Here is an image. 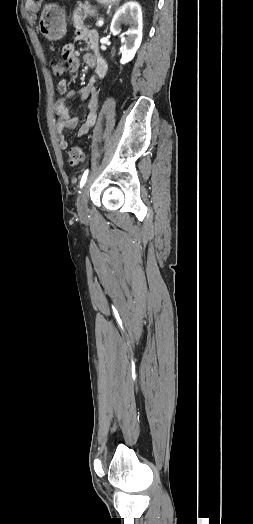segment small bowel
Masks as SVG:
<instances>
[{
	"label": "small bowel",
	"mask_w": 253,
	"mask_h": 524,
	"mask_svg": "<svg viewBox=\"0 0 253 524\" xmlns=\"http://www.w3.org/2000/svg\"><path fill=\"white\" fill-rule=\"evenodd\" d=\"M75 42H85L90 52L83 56L84 62L94 71V77L83 87L78 90H68L67 85L69 80L62 76L58 80V92L66 95L67 98L80 97L86 102L87 112L85 122L78 130V136L85 135L90 128H92L97 120V111L99 108V98L95 92L96 84L104 79L108 72V65L98 47V33L82 24L80 20L75 21ZM62 58L66 64L65 72L72 74L79 68V60L75 54L74 43L67 44L63 49ZM56 113L58 115L56 122V133L59 139L60 148L64 151L68 150V142L65 136V129H73L77 126L78 120L69 112V107L65 98L57 100L55 105Z\"/></svg>",
	"instance_id": "c3829d8e"
}]
</instances>
